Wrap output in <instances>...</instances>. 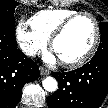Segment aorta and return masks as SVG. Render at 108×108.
Here are the masks:
<instances>
[{"mask_svg":"<svg viewBox=\"0 0 108 108\" xmlns=\"http://www.w3.org/2000/svg\"><path fill=\"white\" fill-rule=\"evenodd\" d=\"M42 85L44 87V89L48 92H54L57 90L58 88V83L55 80V78L53 77H46L43 81H42Z\"/></svg>","mask_w":108,"mask_h":108,"instance_id":"1","label":"aorta"}]
</instances>
